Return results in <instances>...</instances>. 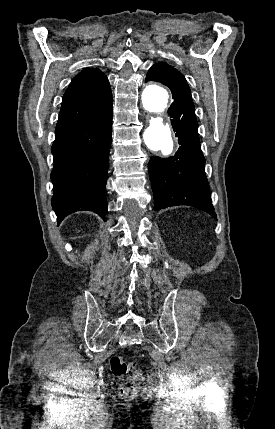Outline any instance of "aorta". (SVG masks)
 Masks as SVG:
<instances>
[{
  "mask_svg": "<svg viewBox=\"0 0 275 429\" xmlns=\"http://www.w3.org/2000/svg\"><path fill=\"white\" fill-rule=\"evenodd\" d=\"M142 105L145 110L157 114L150 120L149 126L143 134L146 146L155 152L171 154L174 148V136L168 122H165L161 114L168 106L169 93L167 89L156 82L146 85L142 92Z\"/></svg>",
  "mask_w": 275,
  "mask_h": 429,
  "instance_id": "aorta-1",
  "label": "aorta"
}]
</instances>
